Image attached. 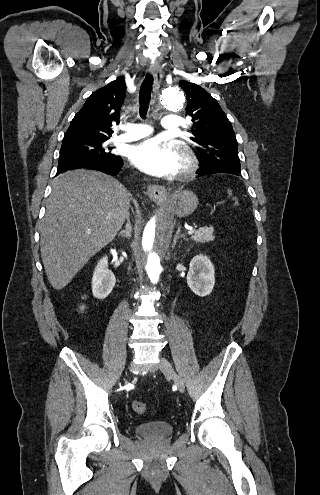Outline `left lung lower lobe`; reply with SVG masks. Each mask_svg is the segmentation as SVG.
Segmentation results:
<instances>
[{"instance_id":"left-lung-lower-lobe-1","label":"left lung lower lobe","mask_w":320,"mask_h":495,"mask_svg":"<svg viewBox=\"0 0 320 495\" xmlns=\"http://www.w3.org/2000/svg\"><path fill=\"white\" fill-rule=\"evenodd\" d=\"M196 173L198 174V176H205L215 173H230L239 176L241 174V171H236L224 167H206L202 165L201 168L198 169Z\"/></svg>"}]
</instances>
